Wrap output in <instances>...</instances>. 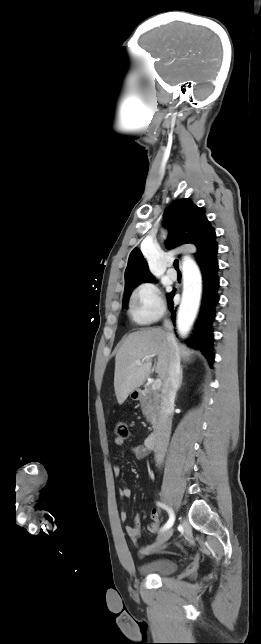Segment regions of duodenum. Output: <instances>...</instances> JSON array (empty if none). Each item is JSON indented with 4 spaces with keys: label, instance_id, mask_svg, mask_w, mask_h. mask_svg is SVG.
Returning a JSON list of instances; mask_svg holds the SVG:
<instances>
[{
    "label": "duodenum",
    "instance_id": "410a0bca",
    "mask_svg": "<svg viewBox=\"0 0 261 644\" xmlns=\"http://www.w3.org/2000/svg\"><path fill=\"white\" fill-rule=\"evenodd\" d=\"M145 396L146 394L142 390H139L136 393L137 400H143L145 399ZM153 417L156 424L155 430L151 434H149L145 439V446L150 450L155 449L159 442L161 416H160V412L157 409L154 410Z\"/></svg>",
    "mask_w": 261,
    "mask_h": 644
}]
</instances>
